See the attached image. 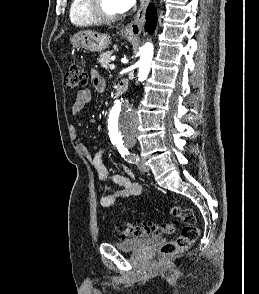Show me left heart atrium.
I'll return each mask as SVG.
<instances>
[{"instance_id":"39dd6f15","label":"left heart atrium","mask_w":259,"mask_h":294,"mask_svg":"<svg viewBox=\"0 0 259 294\" xmlns=\"http://www.w3.org/2000/svg\"><path fill=\"white\" fill-rule=\"evenodd\" d=\"M122 12L129 10L136 2V0H116Z\"/></svg>"}]
</instances>
